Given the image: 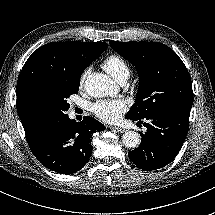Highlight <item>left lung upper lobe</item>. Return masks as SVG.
Segmentation results:
<instances>
[{
  "label": "left lung upper lobe",
  "mask_w": 215,
  "mask_h": 215,
  "mask_svg": "<svg viewBox=\"0 0 215 215\" xmlns=\"http://www.w3.org/2000/svg\"><path fill=\"white\" fill-rule=\"evenodd\" d=\"M110 45L139 75L138 94L126 118L141 120L159 111L192 106L190 75L171 48L145 41H111Z\"/></svg>",
  "instance_id": "obj_1"
}]
</instances>
